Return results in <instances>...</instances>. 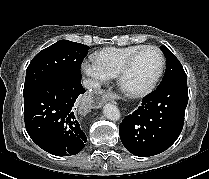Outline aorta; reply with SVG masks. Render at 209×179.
<instances>
[{
	"instance_id": "aorta-1",
	"label": "aorta",
	"mask_w": 209,
	"mask_h": 179,
	"mask_svg": "<svg viewBox=\"0 0 209 179\" xmlns=\"http://www.w3.org/2000/svg\"><path fill=\"white\" fill-rule=\"evenodd\" d=\"M103 113L109 120L117 121L120 119V111L114 104H105L103 107Z\"/></svg>"
}]
</instances>
